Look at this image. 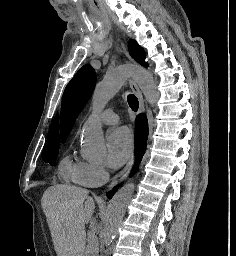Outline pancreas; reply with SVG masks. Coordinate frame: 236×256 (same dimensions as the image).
Returning a JSON list of instances; mask_svg holds the SVG:
<instances>
[{"label":"pancreas","mask_w":236,"mask_h":256,"mask_svg":"<svg viewBox=\"0 0 236 256\" xmlns=\"http://www.w3.org/2000/svg\"><path fill=\"white\" fill-rule=\"evenodd\" d=\"M91 224H98L99 220L98 219H91L90 220ZM99 233V226H90V234H89V238H88V250L87 253L88 254H95L96 250L94 248H96V246H99V242H98V238L97 236H95V234Z\"/></svg>","instance_id":"cf45deb5"}]
</instances>
